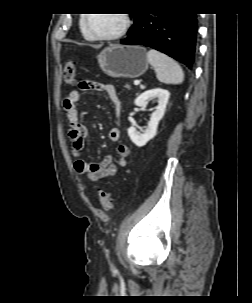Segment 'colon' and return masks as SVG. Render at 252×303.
Segmentation results:
<instances>
[{"label":"colon","instance_id":"1","mask_svg":"<svg viewBox=\"0 0 252 303\" xmlns=\"http://www.w3.org/2000/svg\"><path fill=\"white\" fill-rule=\"evenodd\" d=\"M63 80L67 85H73L75 83V64L72 61H68L63 70ZM99 203L105 210H110L113 207V196L105 191L99 193Z\"/></svg>","mask_w":252,"mask_h":303}]
</instances>
